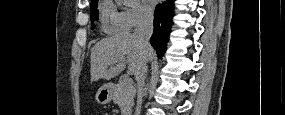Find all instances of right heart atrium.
I'll list each match as a JSON object with an SVG mask.
<instances>
[{"label": "right heart atrium", "mask_w": 285, "mask_h": 115, "mask_svg": "<svg viewBox=\"0 0 285 115\" xmlns=\"http://www.w3.org/2000/svg\"><path fill=\"white\" fill-rule=\"evenodd\" d=\"M124 30H132L149 24L152 20V12L141 3H134L121 11Z\"/></svg>", "instance_id": "right-heart-atrium-1"}]
</instances>
